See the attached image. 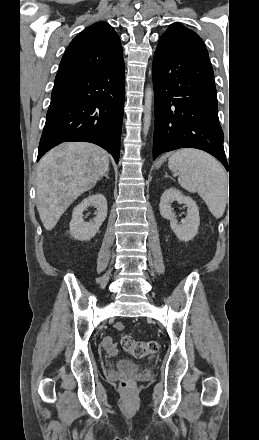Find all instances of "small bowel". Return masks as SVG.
I'll return each instance as SVG.
<instances>
[{
  "mask_svg": "<svg viewBox=\"0 0 259 440\" xmlns=\"http://www.w3.org/2000/svg\"><path fill=\"white\" fill-rule=\"evenodd\" d=\"M115 326L118 330H122L124 328L122 323H117ZM102 346L110 354H116L118 352L117 345L111 336H107L102 340Z\"/></svg>",
  "mask_w": 259,
  "mask_h": 440,
  "instance_id": "c3829d8e",
  "label": "small bowel"
}]
</instances>
